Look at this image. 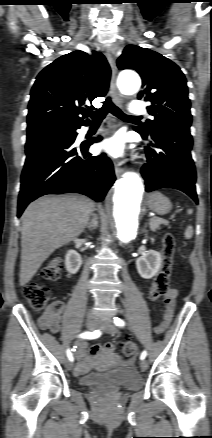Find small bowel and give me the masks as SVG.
I'll list each match as a JSON object with an SVG mask.
<instances>
[{
  "label": "small bowel",
  "instance_id": "small-bowel-1",
  "mask_svg": "<svg viewBox=\"0 0 212 438\" xmlns=\"http://www.w3.org/2000/svg\"><path fill=\"white\" fill-rule=\"evenodd\" d=\"M178 296V292L174 288H169L167 293L164 295L163 304L164 309L162 313L161 321L155 326L154 330L156 333H163L168 326L170 325L175 305L176 299ZM64 311V304L61 301H55L51 303L43 315L40 318V324L44 329H47L51 333H57L60 328L61 317ZM115 346L113 344H105L101 346L99 344L93 345L90 348V353L87 356L86 354V345L83 342L78 343L76 355L78 359H80V363L76 366L74 370L75 375H82L89 371L91 366V358L97 356L101 352H112L114 351Z\"/></svg>",
  "mask_w": 212,
  "mask_h": 438
}]
</instances>
